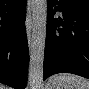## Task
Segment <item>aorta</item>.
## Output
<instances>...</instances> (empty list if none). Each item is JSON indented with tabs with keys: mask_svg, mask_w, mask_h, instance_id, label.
<instances>
[{
	"mask_svg": "<svg viewBox=\"0 0 89 89\" xmlns=\"http://www.w3.org/2000/svg\"><path fill=\"white\" fill-rule=\"evenodd\" d=\"M32 39L30 44L29 87L44 89L43 63L46 39L47 1L32 0Z\"/></svg>",
	"mask_w": 89,
	"mask_h": 89,
	"instance_id": "762f6f07",
	"label": "aorta"
}]
</instances>
